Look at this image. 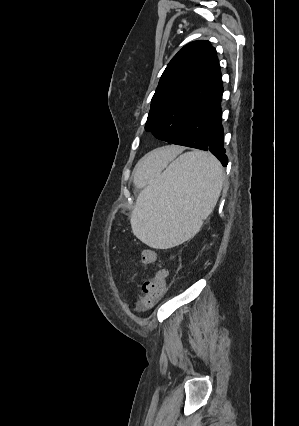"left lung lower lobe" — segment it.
I'll return each mask as SVG.
<instances>
[{
  "label": "left lung lower lobe",
  "instance_id": "left-lung-lower-lobe-1",
  "mask_svg": "<svg viewBox=\"0 0 299 426\" xmlns=\"http://www.w3.org/2000/svg\"><path fill=\"white\" fill-rule=\"evenodd\" d=\"M223 87L189 118L171 143L210 151L226 166L223 145L221 99Z\"/></svg>",
  "mask_w": 299,
  "mask_h": 426
}]
</instances>
